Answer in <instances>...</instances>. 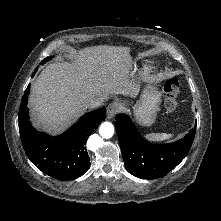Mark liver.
I'll list each match as a JSON object with an SVG mask.
<instances>
[{
    "mask_svg": "<svg viewBox=\"0 0 221 221\" xmlns=\"http://www.w3.org/2000/svg\"><path fill=\"white\" fill-rule=\"evenodd\" d=\"M130 69L129 48L105 45L75 52L72 63L48 65L31 86L28 105L34 124L59 133L85 112L91 98L135 96L138 90L128 80Z\"/></svg>",
    "mask_w": 221,
    "mask_h": 221,
    "instance_id": "liver-1",
    "label": "liver"
}]
</instances>
